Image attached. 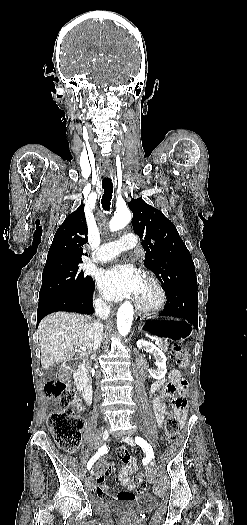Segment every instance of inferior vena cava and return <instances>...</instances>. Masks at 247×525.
I'll return each mask as SVG.
<instances>
[{
	"mask_svg": "<svg viewBox=\"0 0 247 525\" xmlns=\"http://www.w3.org/2000/svg\"><path fill=\"white\" fill-rule=\"evenodd\" d=\"M110 311V307H108L107 303H104V301H100V303H96L95 305L97 321L95 325V333H93L94 355H92V357H96V353H98V349L101 347L104 329L103 321H107Z\"/></svg>",
	"mask_w": 247,
	"mask_h": 525,
	"instance_id": "602c4592",
	"label": "inferior vena cava"
}]
</instances>
